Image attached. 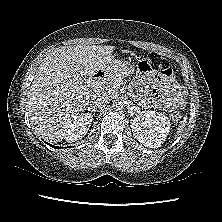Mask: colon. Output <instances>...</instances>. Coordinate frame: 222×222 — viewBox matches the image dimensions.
<instances>
[{
  "label": "colon",
  "instance_id": "1",
  "mask_svg": "<svg viewBox=\"0 0 222 222\" xmlns=\"http://www.w3.org/2000/svg\"><path fill=\"white\" fill-rule=\"evenodd\" d=\"M169 69V64L167 60L162 57L160 54L153 53L151 54L145 61H143L139 70L143 74H150L156 71H160L161 73L167 72ZM181 115L178 111H174L171 114V119L175 122L179 121Z\"/></svg>",
  "mask_w": 222,
  "mask_h": 222
}]
</instances>
